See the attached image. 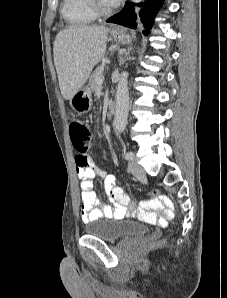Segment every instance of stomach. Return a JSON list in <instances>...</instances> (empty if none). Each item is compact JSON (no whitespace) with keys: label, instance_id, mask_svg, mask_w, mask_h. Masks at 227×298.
Segmentation results:
<instances>
[{"label":"stomach","instance_id":"stomach-1","mask_svg":"<svg viewBox=\"0 0 227 298\" xmlns=\"http://www.w3.org/2000/svg\"><path fill=\"white\" fill-rule=\"evenodd\" d=\"M112 37L120 44L127 45L132 37L124 30L111 31ZM72 109L78 114L88 113L92 108V92L88 86L81 87L70 99Z\"/></svg>","mask_w":227,"mask_h":298}]
</instances>
